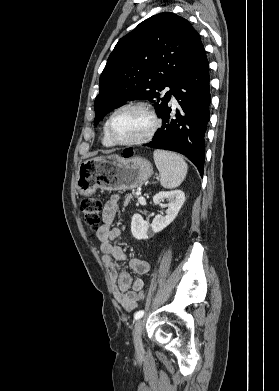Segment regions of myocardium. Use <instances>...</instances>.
<instances>
[{
    "mask_svg": "<svg viewBox=\"0 0 279 391\" xmlns=\"http://www.w3.org/2000/svg\"><path fill=\"white\" fill-rule=\"evenodd\" d=\"M128 108H135V109H140V110L144 111L149 116V118L151 120V126H150L149 130L140 138H137L135 140H130V141H118L111 134L112 120L118 112H120L124 109H128ZM160 124H161L160 119L158 118L155 110L153 109V107L151 105H149L148 103H145V102H141V101L128 102V103H125V104L119 106L110 114V116L108 117V119L106 121V135H107V138L109 139V141L113 145H116V146L141 145V144L149 142L154 137V135L157 133V131L160 127Z\"/></svg>",
    "mask_w": 279,
    "mask_h": 391,
    "instance_id": "1",
    "label": "myocardium"
}]
</instances>
